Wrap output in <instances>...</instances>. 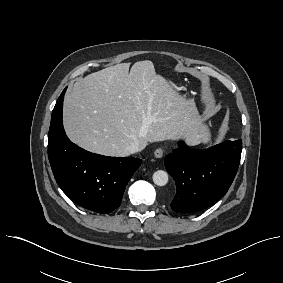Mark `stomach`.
Masks as SVG:
<instances>
[{"mask_svg": "<svg viewBox=\"0 0 283 283\" xmlns=\"http://www.w3.org/2000/svg\"><path fill=\"white\" fill-rule=\"evenodd\" d=\"M195 113L201 119L196 107H195ZM197 135L199 137L200 143L207 144L211 140L210 130L208 126L203 123L202 119L199 122L198 127H197Z\"/></svg>", "mask_w": 283, "mask_h": 283, "instance_id": "obj_1", "label": "stomach"}]
</instances>
